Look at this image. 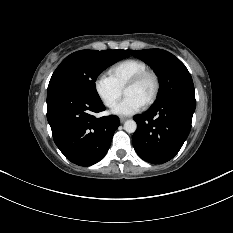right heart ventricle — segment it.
Returning a JSON list of instances; mask_svg holds the SVG:
<instances>
[{"instance_id": "right-heart-ventricle-1", "label": "right heart ventricle", "mask_w": 233, "mask_h": 233, "mask_svg": "<svg viewBox=\"0 0 233 233\" xmlns=\"http://www.w3.org/2000/svg\"><path fill=\"white\" fill-rule=\"evenodd\" d=\"M148 69L147 64L139 59H126L113 65L108 74L116 85L123 89L136 74Z\"/></svg>"}]
</instances>
